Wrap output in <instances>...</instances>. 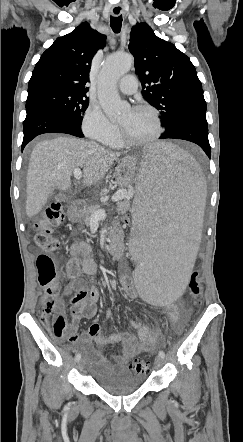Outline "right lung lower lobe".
<instances>
[{"label": "right lung lower lobe", "mask_w": 243, "mask_h": 442, "mask_svg": "<svg viewBox=\"0 0 243 442\" xmlns=\"http://www.w3.org/2000/svg\"><path fill=\"white\" fill-rule=\"evenodd\" d=\"M27 116L23 122L22 150L32 139L44 133H66L84 137L81 127L57 107L47 103L26 105Z\"/></svg>", "instance_id": "98d812e1"}]
</instances>
